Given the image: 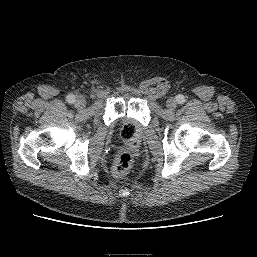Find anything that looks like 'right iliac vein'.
Listing matches in <instances>:
<instances>
[{
  "instance_id": "obj_1",
  "label": "right iliac vein",
  "mask_w": 257,
  "mask_h": 257,
  "mask_svg": "<svg viewBox=\"0 0 257 257\" xmlns=\"http://www.w3.org/2000/svg\"><path fill=\"white\" fill-rule=\"evenodd\" d=\"M85 104H86L85 98L81 95L77 96V98L75 99V107L81 109L85 106Z\"/></svg>"
}]
</instances>
